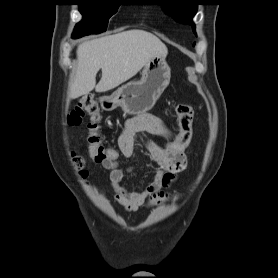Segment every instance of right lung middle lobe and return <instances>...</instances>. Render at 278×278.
<instances>
[{"label":"right lung middle lobe","instance_id":"obj_1","mask_svg":"<svg viewBox=\"0 0 278 278\" xmlns=\"http://www.w3.org/2000/svg\"><path fill=\"white\" fill-rule=\"evenodd\" d=\"M121 0H77L83 20L78 23L72 34L80 38L90 33L104 32L109 18L115 14L121 5Z\"/></svg>","mask_w":278,"mask_h":278}]
</instances>
